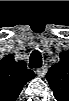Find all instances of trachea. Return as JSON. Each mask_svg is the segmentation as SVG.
<instances>
[{"instance_id":"3493384b","label":"trachea","mask_w":69,"mask_h":101,"mask_svg":"<svg viewBox=\"0 0 69 101\" xmlns=\"http://www.w3.org/2000/svg\"><path fill=\"white\" fill-rule=\"evenodd\" d=\"M42 66V56L38 50H34L29 58L30 68H40Z\"/></svg>"}]
</instances>
